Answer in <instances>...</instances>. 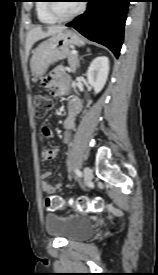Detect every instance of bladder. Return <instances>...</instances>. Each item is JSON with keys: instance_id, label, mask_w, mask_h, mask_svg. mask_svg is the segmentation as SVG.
I'll list each match as a JSON object with an SVG mask.
<instances>
[{"instance_id": "bladder-1", "label": "bladder", "mask_w": 158, "mask_h": 275, "mask_svg": "<svg viewBox=\"0 0 158 275\" xmlns=\"http://www.w3.org/2000/svg\"><path fill=\"white\" fill-rule=\"evenodd\" d=\"M45 229L51 236L68 241L82 240L88 237L93 229L92 221L79 215H58L47 213L44 217Z\"/></svg>"}]
</instances>
